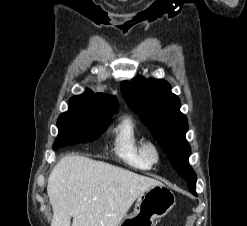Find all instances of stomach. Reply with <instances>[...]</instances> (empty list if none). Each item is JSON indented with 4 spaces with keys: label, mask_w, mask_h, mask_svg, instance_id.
I'll use <instances>...</instances> for the list:
<instances>
[{
    "label": "stomach",
    "mask_w": 247,
    "mask_h": 226,
    "mask_svg": "<svg viewBox=\"0 0 247 226\" xmlns=\"http://www.w3.org/2000/svg\"><path fill=\"white\" fill-rule=\"evenodd\" d=\"M176 203L173 192L162 183L146 189L137 199L134 212L118 226H155L154 221L167 215Z\"/></svg>",
    "instance_id": "0dacf381"
}]
</instances>
